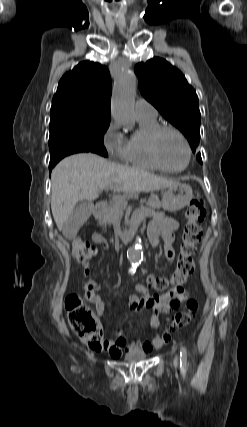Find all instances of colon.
Here are the masks:
<instances>
[{
	"instance_id": "colon-1",
	"label": "colon",
	"mask_w": 247,
	"mask_h": 427,
	"mask_svg": "<svg viewBox=\"0 0 247 427\" xmlns=\"http://www.w3.org/2000/svg\"><path fill=\"white\" fill-rule=\"evenodd\" d=\"M205 216L206 208L203 200H192L185 213L186 221L182 231L176 269L170 277H150L149 283L154 289L163 291L169 287H183L188 277L193 273L195 268L193 257L201 237L200 224ZM97 251L94 245L81 238H75L72 241V255L77 262H88L97 254ZM65 308L69 324L79 338L93 350L106 349L107 339L104 336L103 327L83 299L75 294L69 295L65 299ZM197 309V301L188 300L186 308L174 315L171 327L179 329L187 326L194 318Z\"/></svg>"
}]
</instances>
